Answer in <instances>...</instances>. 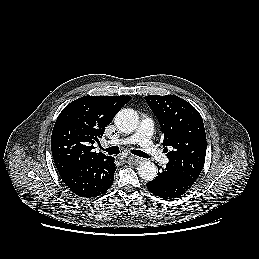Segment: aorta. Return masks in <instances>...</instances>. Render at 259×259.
Segmentation results:
<instances>
[{
    "instance_id": "762f6f07",
    "label": "aorta",
    "mask_w": 259,
    "mask_h": 259,
    "mask_svg": "<svg viewBox=\"0 0 259 259\" xmlns=\"http://www.w3.org/2000/svg\"><path fill=\"white\" fill-rule=\"evenodd\" d=\"M114 122L116 127L123 133H132L138 126V115L133 109L120 110ZM139 176L145 181H152L157 176V167L154 163L146 161L138 167Z\"/></svg>"
}]
</instances>
